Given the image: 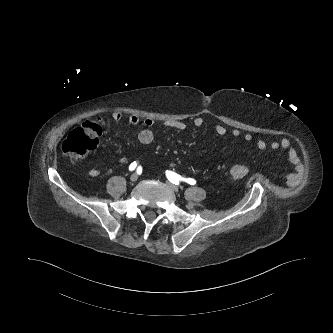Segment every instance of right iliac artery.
Here are the masks:
<instances>
[{
	"label": "right iliac artery",
	"mask_w": 333,
	"mask_h": 333,
	"mask_svg": "<svg viewBox=\"0 0 333 333\" xmlns=\"http://www.w3.org/2000/svg\"><path fill=\"white\" fill-rule=\"evenodd\" d=\"M136 167H137V163H136V161H134L133 163L130 164V166H129V170H130V171H133V170H135ZM140 168H141V167H140Z\"/></svg>",
	"instance_id": "82829eb1"
}]
</instances>
